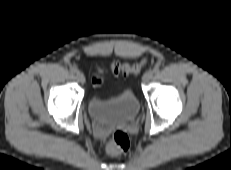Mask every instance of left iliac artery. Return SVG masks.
Here are the masks:
<instances>
[{"instance_id":"44dca946","label":"left iliac artery","mask_w":231,"mask_h":170,"mask_svg":"<svg viewBox=\"0 0 231 170\" xmlns=\"http://www.w3.org/2000/svg\"><path fill=\"white\" fill-rule=\"evenodd\" d=\"M153 71H154L155 73L159 72V66H158V65H155V67L153 68Z\"/></svg>"}]
</instances>
